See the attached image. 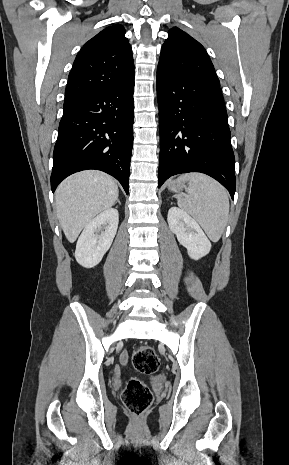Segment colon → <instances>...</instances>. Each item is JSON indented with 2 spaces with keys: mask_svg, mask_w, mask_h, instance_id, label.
I'll list each match as a JSON object with an SVG mask.
<instances>
[{
  "mask_svg": "<svg viewBox=\"0 0 289 465\" xmlns=\"http://www.w3.org/2000/svg\"><path fill=\"white\" fill-rule=\"evenodd\" d=\"M134 368L143 374H153L160 367V360L154 348L140 346L132 356ZM153 399L149 387L141 380L131 378L128 380L122 400L127 409L134 415L142 414L151 404Z\"/></svg>",
  "mask_w": 289,
  "mask_h": 465,
  "instance_id": "colon-1",
  "label": "colon"
}]
</instances>
